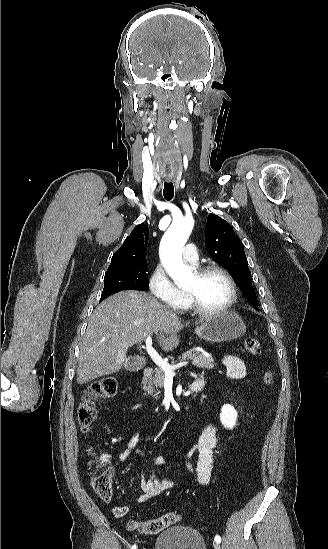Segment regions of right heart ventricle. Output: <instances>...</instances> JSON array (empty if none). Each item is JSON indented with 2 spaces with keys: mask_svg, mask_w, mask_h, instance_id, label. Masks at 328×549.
<instances>
[{
  "mask_svg": "<svg viewBox=\"0 0 328 549\" xmlns=\"http://www.w3.org/2000/svg\"><path fill=\"white\" fill-rule=\"evenodd\" d=\"M170 303H178V311L187 309L188 301L182 288H176V295Z\"/></svg>",
  "mask_w": 328,
  "mask_h": 549,
  "instance_id": "obj_1",
  "label": "right heart ventricle"
}]
</instances>
